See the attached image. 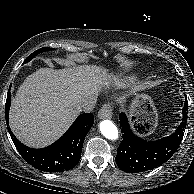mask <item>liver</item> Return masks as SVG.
<instances>
[{"label": "liver", "mask_w": 194, "mask_h": 194, "mask_svg": "<svg viewBox=\"0 0 194 194\" xmlns=\"http://www.w3.org/2000/svg\"><path fill=\"white\" fill-rule=\"evenodd\" d=\"M117 80L96 65L40 68L20 85L10 108V127L24 144L45 147L58 139L79 115V103L96 97Z\"/></svg>", "instance_id": "obj_1"}]
</instances>
